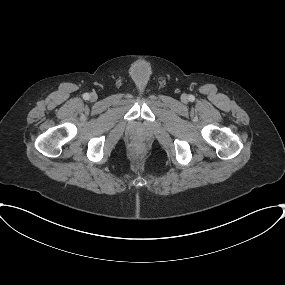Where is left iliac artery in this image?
I'll list each match as a JSON object with an SVG mask.
<instances>
[{
	"label": "left iliac artery",
	"instance_id": "44dca946",
	"mask_svg": "<svg viewBox=\"0 0 285 285\" xmlns=\"http://www.w3.org/2000/svg\"><path fill=\"white\" fill-rule=\"evenodd\" d=\"M189 100L192 102V101L195 100V97H194L193 95H190V96H189Z\"/></svg>",
	"mask_w": 285,
	"mask_h": 285
}]
</instances>
